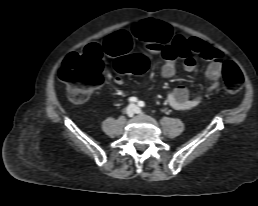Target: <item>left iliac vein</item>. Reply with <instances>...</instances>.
<instances>
[{"label": "left iliac vein", "mask_w": 258, "mask_h": 206, "mask_svg": "<svg viewBox=\"0 0 258 206\" xmlns=\"http://www.w3.org/2000/svg\"><path fill=\"white\" fill-rule=\"evenodd\" d=\"M136 113L139 114V115H143V112L139 108H136Z\"/></svg>", "instance_id": "1"}]
</instances>
